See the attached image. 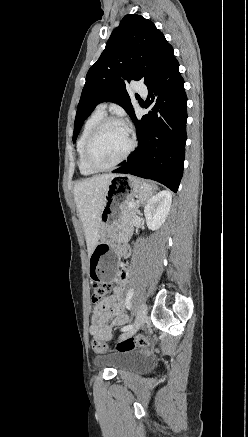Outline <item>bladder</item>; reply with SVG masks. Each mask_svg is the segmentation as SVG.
Returning a JSON list of instances; mask_svg holds the SVG:
<instances>
[{
	"mask_svg": "<svg viewBox=\"0 0 248 437\" xmlns=\"http://www.w3.org/2000/svg\"><path fill=\"white\" fill-rule=\"evenodd\" d=\"M98 362H109L118 371L130 369L139 365L146 364L148 359L145 355L140 353H125L112 359H106L103 357L97 358Z\"/></svg>",
	"mask_w": 248,
	"mask_h": 437,
	"instance_id": "1",
	"label": "bladder"
}]
</instances>
